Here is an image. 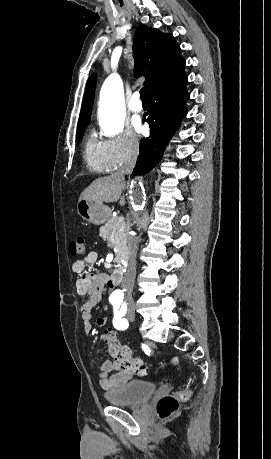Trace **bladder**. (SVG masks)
Listing matches in <instances>:
<instances>
[{
  "label": "bladder",
  "mask_w": 271,
  "mask_h": 459,
  "mask_svg": "<svg viewBox=\"0 0 271 459\" xmlns=\"http://www.w3.org/2000/svg\"><path fill=\"white\" fill-rule=\"evenodd\" d=\"M156 391L153 381H131L117 392L105 393L111 405H141Z\"/></svg>",
  "instance_id": "1"
}]
</instances>
